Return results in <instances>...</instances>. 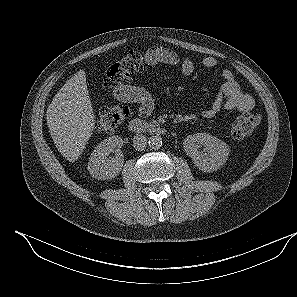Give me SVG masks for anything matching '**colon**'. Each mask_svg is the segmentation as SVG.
Wrapping results in <instances>:
<instances>
[{"label": "colon", "mask_w": 297, "mask_h": 297, "mask_svg": "<svg viewBox=\"0 0 297 297\" xmlns=\"http://www.w3.org/2000/svg\"><path fill=\"white\" fill-rule=\"evenodd\" d=\"M144 56L137 51L128 52L125 56L112 63L103 76V85L107 89L124 85L129 76L143 68ZM127 116V108L121 105L103 108L96 121L99 132L116 130ZM261 117L257 113H244L231 125L230 134L235 140H241L251 135L260 124Z\"/></svg>", "instance_id": "colon-1"}]
</instances>
